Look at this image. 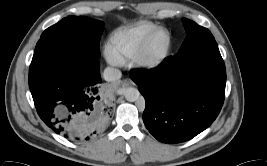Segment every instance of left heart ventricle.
Masks as SVG:
<instances>
[{
	"instance_id": "b2bd125f",
	"label": "left heart ventricle",
	"mask_w": 267,
	"mask_h": 166,
	"mask_svg": "<svg viewBox=\"0 0 267 166\" xmlns=\"http://www.w3.org/2000/svg\"><path fill=\"white\" fill-rule=\"evenodd\" d=\"M165 42H166V35L164 33L159 34L153 40L150 46V51L153 53L161 51L165 45Z\"/></svg>"
}]
</instances>
